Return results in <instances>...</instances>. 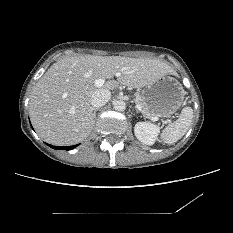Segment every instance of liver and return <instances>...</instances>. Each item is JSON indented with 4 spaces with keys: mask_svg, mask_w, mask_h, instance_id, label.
<instances>
[{
    "mask_svg": "<svg viewBox=\"0 0 233 233\" xmlns=\"http://www.w3.org/2000/svg\"><path fill=\"white\" fill-rule=\"evenodd\" d=\"M175 74L166 62L149 58L76 55L54 63L38 80L30 98V116L38 135L54 145H73L86 139L94 126L91 96L119 84L142 88ZM102 88L96 79H111Z\"/></svg>",
    "mask_w": 233,
    "mask_h": 233,
    "instance_id": "liver-1",
    "label": "liver"
}]
</instances>
